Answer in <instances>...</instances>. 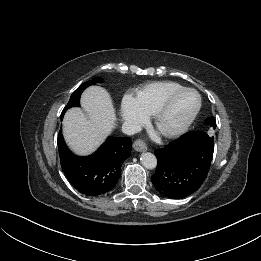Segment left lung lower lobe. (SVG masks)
Wrapping results in <instances>:
<instances>
[{
    "mask_svg": "<svg viewBox=\"0 0 261 261\" xmlns=\"http://www.w3.org/2000/svg\"><path fill=\"white\" fill-rule=\"evenodd\" d=\"M214 152V140L206 132H188L154 151L157 169L151 176L163 196L181 199L194 193L206 179Z\"/></svg>",
    "mask_w": 261,
    "mask_h": 261,
    "instance_id": "0a47b994",
    "label": "left lung lower lobe"
}]
</instances>
